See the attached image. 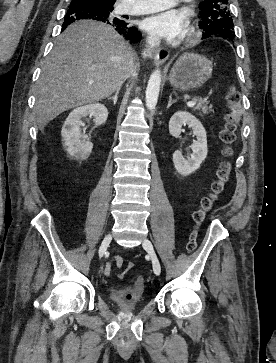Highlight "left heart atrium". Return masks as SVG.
Returning a JSON list of instances; mask_svg holds the SVG:
<instances>
[{"instance_id":"obj_1","label":"left heart atrium","mask_w":276,"mask_h":363,"mask_svg":"<svg viewBox=\"0 0 276 363\" xmlns=\"http://www.w3.org/2000/svg\"><path fill=\"white\" fill-rule=\"evenodd\" d=\"M144 28L153 36L170 41L182 39L189 28L185 14L175 10L161 12L144 20Z\"/></svg>"}]
</instances>
